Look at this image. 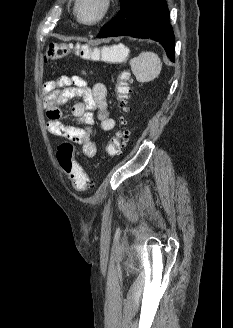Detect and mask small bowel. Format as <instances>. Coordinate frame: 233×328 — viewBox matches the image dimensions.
<instances>
[{
  "mask_svg": "<svg viewBox=\"0 0 233 328\" xmlns=\"http://www.w3.org/2000/svg\"><path fill=\"white\" fill-rule=\"evenodd\" d=\"M43 94L48 131L81 145L84 156L94 157L97 152L96 144L92 140L94 112L103 131H112L116 124L109 113L106 86L103 83H96L89 87L80 76L64 75L45 83ZM75 97L82 99L73 105L71 111L78 125H68L64 122L66 117L61 107Z\"/></svg>",
  "mask_w": 233,
  "mask_h": 328,
  "instance_id": "c3829d8e",
  "label": "small bowel"
}]
</instances>
